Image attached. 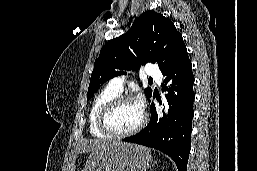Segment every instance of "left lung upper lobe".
Listing matches in <instances>:
<instances>
[{
	"label": "left lung upper lobe",
	"mask_w": 257,
	"mask_h": 171,
	"mask_svg": "<svg viewBox=\"0 0 257 171\" xmlns=\"http://www.w3.org/2000/svg\"><path fill=\"white\" fill-rule=\"evenodd\" d=\"M184 46L171 20L154 11L143 13L127 33L110 40L101 49L90 78L87 100L107 80L126 74L124 70H135L147 62H157L161 68ZM144 92L149 99L152 89L146 88Z\"/></svg>",
	"instance_id": "5c2ea615"
}]
</instances>
